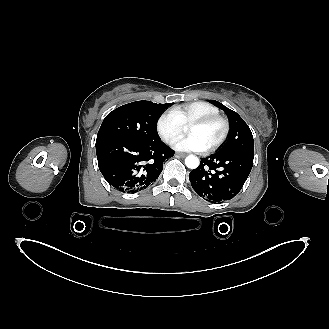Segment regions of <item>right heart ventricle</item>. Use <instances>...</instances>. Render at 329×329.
Instances as JSON below:
<instances>
[{"label":"right heart ventricle","mask_w":329,"mask_h":329,"mask_svg":"<svg viewBox=\"0 0 329 329\" xmlns=\"http://www.w3.org/2000/svg\"><path fill=\"white\" fill-rule=\"evenodd\" d=\"M183 125H188L192 120L207 116L219 114V109L205 101H193L172 109Z\"/></svg>","instance_id":"1"}]
</instances>
